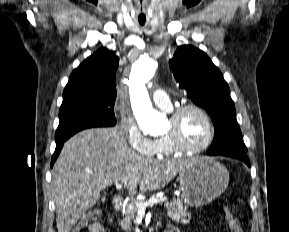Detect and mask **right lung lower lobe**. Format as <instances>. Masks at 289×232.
<instances>
[{
    "label": "right lung lower lobe",
    "mask_w": 289,
    "mask_h": 232,
    "mask_svg": "<svg viewBox=\"0 0 289 232\" xmlns=\"http://www.w3.org/2000/svg\"><path fill=\"white\" fill-rule=\"evenodd\" d=\"M63 145H64V142L56 144V149H55V152H54L52 159H51V167L53 166L55 160L57 159Z\"/></svg>",
    "instance_id": "98d812e1"
}]
</instances>
